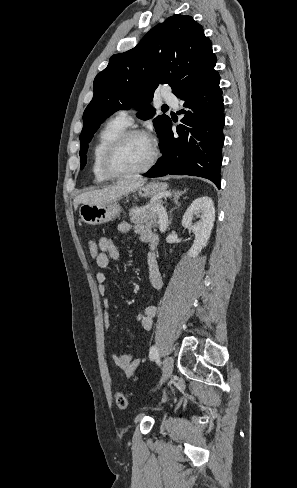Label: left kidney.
Here are the masks:
<instances>
[{
	"label": "left kidney",
	"mask_w": 297,
	"mask_h": 488,
	"mask_svg": "<svg viewBox=\"0 0 297 488\" xmlns=\"http://www.w3.org/2000/svg\"><path fill=\"white\" fill-rule=\"evenodd\" d=\"M195 218L199 221L193 223ZM215 221V208L213 200L209 197H200L194 200L183 215L182 225L195 234L192 247L187 256L196 257L207 245Z\"/></svg>",
	"instance_id": "left-kidney-1"
}]
</instances>
